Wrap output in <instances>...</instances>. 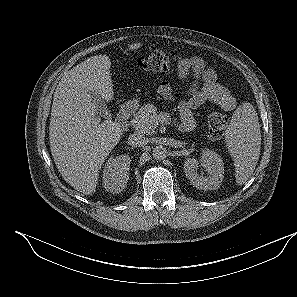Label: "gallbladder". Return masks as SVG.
<instances>
[{
  "label": "gallbladder",
  "instance_id": "gallbladder-1",
  "mask_svg": "<svg viewBox=\"0 0 297 297\" xmlns=\"http://www.w3.org/2000/svg\"><path fill=\"white\" fill-rule=\"evenodd\" d=\"M93 102L95 103L98 113L101 117L105 118V119H110L111 118V114L110 111L108 110L106 103L104 101V99H102L100 97V95H98L96 92H89Z\"/></svg>",
  "mask_w": 297,
  "mask_h": 297
}]
</instances>
